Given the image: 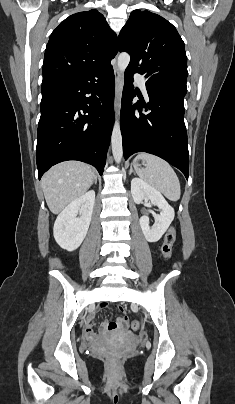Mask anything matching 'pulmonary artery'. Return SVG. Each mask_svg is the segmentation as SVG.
I'll return each instance as SVG.
<instances>
[{"label": "pulmonary artery", "instance_id": "pulmonary-artery-1", "mask_svg": "<svg viewBox=\"0 0 235 404\" xmlns=\"http://www.w3.org/2000/svg\"><path fill=\"white\" fill-rule=\"evenodd\" d=\"M134 78H135V81L138 83V85L141 87L144 94L147 95L144 78L139 73H135Z\"/></svg>", "mask_w": 235, "mask_h": 404}]
</instances>
